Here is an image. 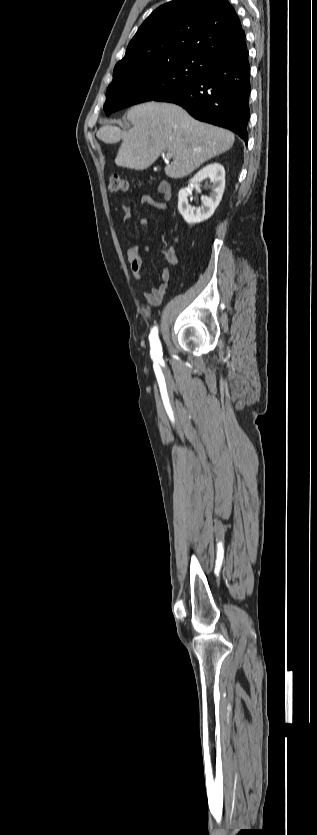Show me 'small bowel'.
<instances>
[{"mask_svg":"<svg viewBox=\"0 0 317 835\" xmlns=\"http://www.w3.org/2000/svg\"><path fill=\"white\" fill-rule=\"evenodd\" d=\"M156 191L159 195H161V197L164 201L170 200L171 190H170V187L167 183H165V182L159 183L156 187ZM141 203L143 205H148V206H151V207L157 208L159 210H163V211H166L168 209V205L165 202L156 201L150 195L142 196ZM123 210H124V213H125V220H129L132 216L130 208L128 206H125L123 208ZM148 224H149V221H148L147 218H141L139 220V226L142 227V228L147 227ZM143 251H148V247L145 246L143 248ZM164 256H165L166 262L169 266H175L179 262L178 255L173 248H168L164 252ZM127 261L129 263V266L132 270V273H133L134 278L136 279V281H138L139 283H143V277H142V274H141L142 250L138 246L129 247L128 250H127ZM170 276H171V273H170L169 268L168 267L163 268L162 273H161L160 283L157 286L151 287L149 290H147L144 293L145 298H146V300H147V302L150 306H158L162 303V301H163V299L166 295V292H167L168 284H169V281H170Z\"/></svg>","mask_w":317,"mask_h":835,"instance_id":"c3829d8e","label":"small bowel"}]
</instances>
